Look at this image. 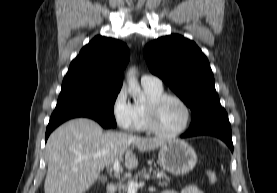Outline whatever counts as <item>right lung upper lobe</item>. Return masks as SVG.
<instances>
[{"label": "right lung upper lobe", "instance_id": "obj_1", "mask_svg": "<svg viewBox=\"0 0 277 193\" xmlns=\"http://www.w3.org/2000/svg\"><path fill=\"white\" fill-rule=\"evenodd\" d=\"M129 58V49L124 43L96 36L71 62L61 90L74 87L120 90Z\"/></svg>", "mask_w": 277, "mask_h": 193}]
</instances>
